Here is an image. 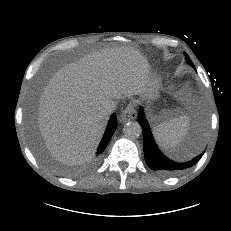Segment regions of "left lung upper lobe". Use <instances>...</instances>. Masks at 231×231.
<instances>
[{
    "label": "left lung upper lobe",
    "instance_id": "1",
    "mask_svg": "<svg viewBox=\"0 0 231 231\" xmlns=\"http://www.w3.org/2000/svg\"><path fill=\"white\" fill-rule=\"evenodd\" d=\"M185 57H186V61L189 65H191L192 67H194L192 61L190 60L189 56L185 53Z\"/></svg>",
    "mask_w": 231,
    "mask_h": 231
}]
</instances>
